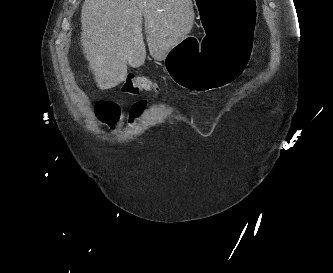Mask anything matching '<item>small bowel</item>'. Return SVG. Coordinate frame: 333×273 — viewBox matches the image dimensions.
Instances as JSON below:
<instances>
[{"instance_id": "1", "label": "small bowel", "mask_w": 333, "mask_h": 273, "mask_svg": "<svg viewBox=\"0 0 333 273\" xmlns=\"http://www.w3.org/2000/svg\"><path fill=\"white\" fill-rule=\"evenodd\" d=\"M144 108H145V104L143 102H137V103H135L132 106V108H131V110H130V112L128 114V121H129V123H131V124L134 123L135 120H137L139 118V116L143 112Z\"/></svg>"}]
</instances>
